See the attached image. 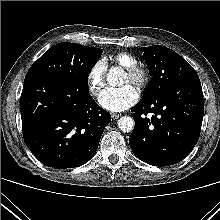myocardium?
<instances>
[{
    "mask_svg": "<svg viewBox=\"0 0 220 220\" xmlns=\"http://www.w3.org/2000/svg\"><path fill=\"white\" fill-rule=\"evenodd\" d=\"M126 73L130 77V82L138 88H144L149 82V72L141 65H134L126 68Z\"/></svg>",
    "mask_w": 220,
    "mask_h": 220,
    "instance_id": "obj_1",
    "label": "myocardium"
}]
</instances>
